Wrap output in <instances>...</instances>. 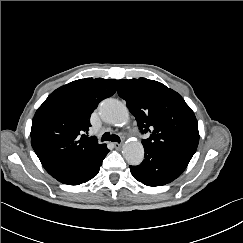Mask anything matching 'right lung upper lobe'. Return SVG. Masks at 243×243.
<instances>
[{
  "mask_svg": "<svg viewBox=\"0 0 243 243\" xmlns=\"http://www.w3.org/2000/svg\"><path fill=\"white\" fill-rule=\"evenodd\" d=\"M116 89L117 80L85 78L61 86L47 97L37 109L31 128V144L43 167L106 146L86 134L91 113Z\"/></svg>",
  "mask_w": 243,
  "mask_h": 243,
  "instance_id": "obj_1",
  "label": "right lung upper lobe"
}]
</instances>
